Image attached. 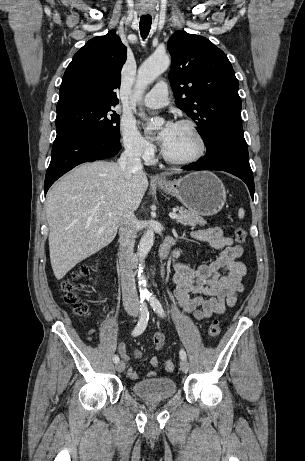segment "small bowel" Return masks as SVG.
I'll return each instance as SVG.
<instances>
[{
    "label": "small bowel",
    "mask_w": 305,
    "mask_h": 461,
    "mask_svg": "<svg viewBox=\"0 0 305 461\" xmlns=\"http://www.w3.org/2000/svg\"><path fill=\"white\" fill-rule=\"evenodd\" d=\"M191 237L207 243L213 249L222 250L214 261L196 268L177 261L182 253L181 249L173 253L175 297L184 312L192 314L197 320H205L223 313L226 306L236 304L239 293L243 291L242 279L247 273V267L239 260L243 256V248L234 245L233 239L225 236L221 228L196 230L191 232ZM152 343L156 350H161L166 343L165 335L156 332ZM119 352L124 360H128L124 343L119 345ZM132 354L135 358L142 356L138 349H134ZM150 364L157 368L160 364L158 357L152 356ZM127 375L133 379L139 377L133 368L127 370ZM148 375L154 377L156 371L151 370Z\"/></svg>",
    "instance_id": "c3829d8e"
}]
</instances>
